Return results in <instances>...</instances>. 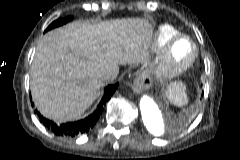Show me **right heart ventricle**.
I'll use <instances>...</instances> for the list:
<instances>
[{
  "label": "right heart ventricle",
  "instance_id": "right-heart-ventricle-1",
  "mask_svg": "<svg viewBox=\"0 0 240 160\" xmlns=\"http://www.w3.org/2000/svg\"><path fill=\"white\" fill-rule=\"evenodd\" d=\"M178 34L179 31L172 25L162 24L158 26L150 41V51L159 53L165 45Z\"/></svg>",
  "mask_w": 240,
  "mask_h": 160
}]
</instances>
